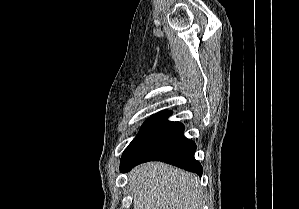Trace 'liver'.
I'll list each match as a JSON object with an SVG mask.
<instances>
[{
  "mask_svg": "<svg viewBox=\"0 0 299 209\" xmlns=\"http://www.w3.org/2000/svg\"><path fill=\"white\" fill-rule=\"evenodd\" d=\"M134 209H201L198 177L179 168L149 162L129 176Z\"/></svg>",
  "mask_w": 299,
  "mask_h": 209,
  "instance_id": "liver-1",
  "label": "liver"
}]
</instances>
